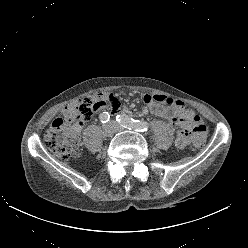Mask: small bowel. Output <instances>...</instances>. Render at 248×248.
Instances as JSON below:
<instances>
[{"instance_id":"obj_1","label":"small bowel","mask_w":248,"mask_h":248,"mask_svg":"<svg viewBox=\"0 0 248 248\" xmlns=\"http://www.w3.org/2000/svg\"><path fill=\"white\" fill-rule=\"evenodd\" d=\"M154 99V96L144 95L143 101L146 106L140 111L141 114L148 112L155 116L161 117L168 122L180 127V131L177 134L175 144L178 149H185L189 144L192 136L195 134L194 127L200 123L198 116L185 105L176 100V104L170 105L171 100L169 98H163L160 95ZM101 104L98 111L109 109L112 113L116 112L120 107L118 98L112 94H97L94 96ZM163 101V103H162ZM76 104L68 106L63 113L74 108Z\"/></svg>"}]
</instances>
